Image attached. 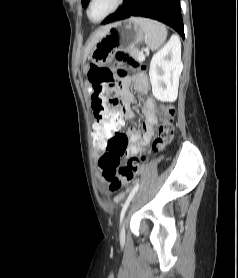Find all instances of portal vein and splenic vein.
Listing matches in <instances>:
<instances>
[{"instance_id":"1","label":"portal vein and splenic vein","mask_w":238,"mask_h":278,"mask_svg":"<svg viewBox=\"0 0 238 278\" xmlns=\"http://www.w3.org/2000/svg\"><path fill=\"white\" fill-rule=\"evenodd\" d=\"M144 59H145V56H144L143 53H141L140 56H139V60H144Z\"/></svg>"}]
</instances>
